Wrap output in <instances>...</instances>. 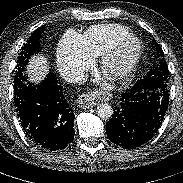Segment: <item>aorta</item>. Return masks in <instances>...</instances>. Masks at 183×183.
<instances>
[{
    "label": "aorta",
    "instance_id": "aorta-1",
    "mask_svg": "<svg viewBox=\"0 0 183 183\" xmlns=\"http://www.w3.org/2000/svg\"><path fill=\"white\" fill-rule=\"evenodd\" d=\"M97 115L102 119H110L113 115V109L108 103H100L97 106Z\"/></svg>",
    "mask_w": 183,
    "mask_h": 183
}]
</instances>
